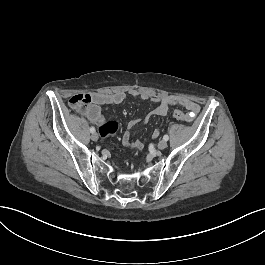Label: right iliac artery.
Returning a JSON list of instances; mask_svg holds the SVG:
<instances>
[{
	"instance_id": "1",
	"label": "right iliac artery",
	"mask_w": 265,
	"mask_h": 265,
	"mask_svg": "<svg viewBox=\"0 0 265 265\" xmlns=\"http://www.w3.org/2000/svg\"><path fill=\"white\" fill-rule=\"evenodd\" d=\"M90 132H91V133H94V132H95V128H94V127H91V128H90Z\"/></svg>"
}]
</instances>
